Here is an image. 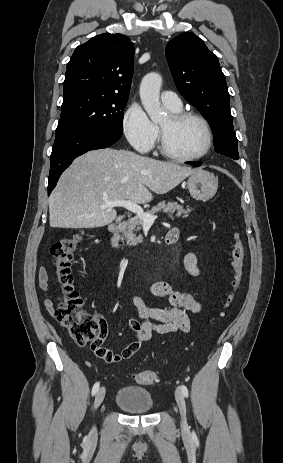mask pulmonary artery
<instances>
[{
	"instance_id": "pulmonary-artery-1",
	"label": "pulmonary artery",
	"mask_w": 283,
	"mask_h": 463,
	"mask_svg": "<svg viewBox=\"0 0 283 463\" xmlns=\"http://www.w3.org/2000/svg\"><path fill=\"white\" fill-rule=\"evenodd\" d=\"M161 100L165 104V106L172 109H178L182 106L181 100L173 91H163L161 93Z\"/></svg>"
}]
</instances>
